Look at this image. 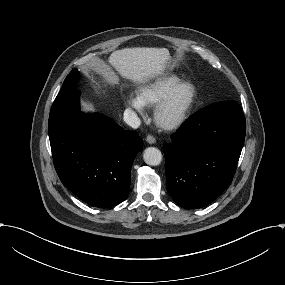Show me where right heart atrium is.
I'll return each instance as SVG.
<instances>
[{
    "label": "right heart atrium",
    "instance_id": "obj_1",
    "mask_svg": "<svg viewBox=\"0 0 285 285\" xmlns=\"http://www.w3.org/2000/svg\"><path fill=\"white\" fill-rule=\"evenodd\" d=\"M126 104L133 108L141 117L146 115L145 104L135 94H128L125 100Z\"/></svg>",
    "mask_w": 285,
    "mask_h": 285
}]
</instances>
